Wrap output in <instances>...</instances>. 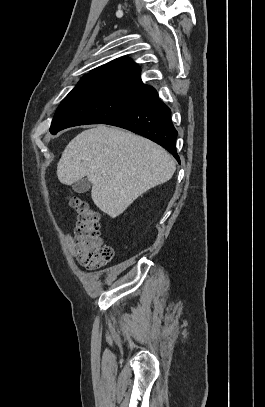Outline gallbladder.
Wrapping results in <instances>:
<instances>
[{"label": "gallbladder", "mask_w": 265, "mask_h": 407, "mask_svg": "<svg viewBox=\"0 0 265 407\" xmlns=\"http://www.w3.org/2000/svg\"><path fill=\"white\" fill-rule=\"evenodd\" d=\"M73 190L78 194H83L91 188V182L88 178H82L76 181L73 186Z\"/></svg>", "instance_id": "gallbladder-1"}]
</instances>
